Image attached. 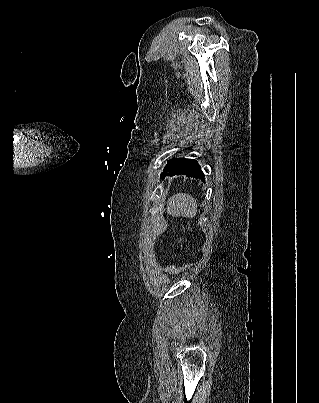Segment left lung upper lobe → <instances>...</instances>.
Wrapping results in <instances>:
<instances>
[{
  "label": "left lung upper lobe",
  "instance_id": "left-lung-upper-lobe-1",
  "mask_svg": "<svg viewBox=\"0 0 319 403\" xmlns=\"http://www.w3.org/2000/svg\"><path fill=\"white\" fill-rule=\"evenodd\" d=\"M170 161H171V160H170ZM170 161H168V163H167L166 167L168 166V164L170 163ZM166 167L164 168V170L166 169Z\"/></svg>",
  "mask_w": 319,
  "mask_h": 403
}]
</instances>
